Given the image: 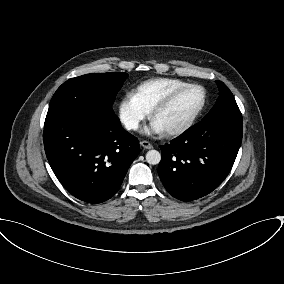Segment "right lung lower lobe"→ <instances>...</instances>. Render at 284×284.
I'll list each match as a JSON object with an SVG mask.
<instances>
[{"instance_id":"right-lung-lower-lobe-1","label":"right lung lower lobe","mask_w":284,"mask_h":284,"mask_svg":"<svg viewBox=\"0 0 284 284\" xmlns=\"http://www.w3.org/2000/svg\"><path fill=\"white\" fill-rule=\"evenodd\" d=\"M44 147L61 184L88 203L110 199L140 152L137 138L122 128L113 110L56 121L44 128Z\"/></svg>"}]
</instances>
